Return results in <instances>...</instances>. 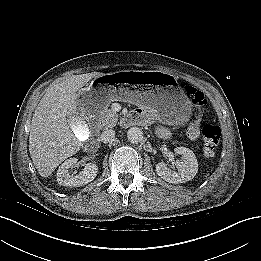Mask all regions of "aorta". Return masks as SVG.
Returning <instances> with one entry per match:
<instances>
[{
	"mask_svg": "<svg viewBox=\"0 0 261 261\" xmlns=\"http://www.w3.org/2000/svg\"><path fill=\"white\" fill-rule=\"evenodd\" d=\"M127 138L131 143H138L143 139V132L139 127H131L127 131Z\"/></svg>",
	"mask_w": 261,
	"mask_h": 261,
	"instance_id": "762f6f07",
	"label": "aorta"
}]
</instances>
